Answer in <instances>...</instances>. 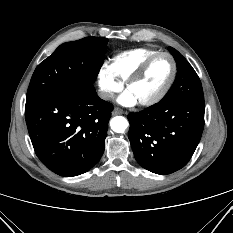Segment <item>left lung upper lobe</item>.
Returning <instances> with one entry per match:
<instances>
[{
    "label": "left lung upper lobe",
    "mask_w": 233,
    "mask_h": 233,
    "mask_svg": "<svg viewBox=\"0 0 233 233\" xmlns=\"http://www.w3.org/2000/svg\"><path fill=\"white\" fill-rule=\"evenodd\" d=\"M177 63V76L171 89L161 101L180 98L204 99L198 75L188 61L174 48H168Z\"/></svg>",
    "instance_id": "left-lung-upper-lobe-1"
}]
</instances>
